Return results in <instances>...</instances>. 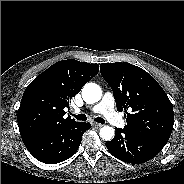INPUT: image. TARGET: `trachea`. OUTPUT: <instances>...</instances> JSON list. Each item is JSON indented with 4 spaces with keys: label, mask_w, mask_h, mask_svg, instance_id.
<instances>
[{
    "label": "trachea",
    "mask_w": 184,
    "mask_h": 184,
    "mask_svg": "<svg viewBox=\"0 0 184 184\" xmlns=\"http://www.w3.org/2000/svg\"><path fill=\"white\" fill-rule=\"evenodd\" d=\"M77 120L79 121H85L87 119L86 115L85 114H78V115H75V114H72ZM96 122L98 123H105V120L101 117H96L94 119Z\"/></svg>",
    "instance_id": "3493384b"
}]
</instances>
